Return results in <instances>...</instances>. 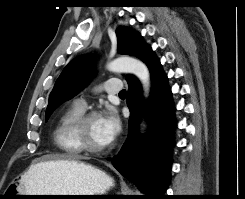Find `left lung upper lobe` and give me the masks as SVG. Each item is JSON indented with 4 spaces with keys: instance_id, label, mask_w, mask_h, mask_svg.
I'll list each match as a JSON object with an SVG mask.
<instances>
[{
    "instance_id": "obj_1",
    "label": "left lung upper lobe",
    "mask_w": 245,
    "mask_h": 199,
    "mask_svg": "<svg viewBox=\"0 0 245 199\" xmlns=\"http://www.w3.org/2000/svg\"><path fill=\"white\" fill-rule=\"evenodd\" d=\"M120 54L132 55L145 61L147 55L152 51L143 43L141 36L126 27L116 31ZM93 59L90 56H79L73 59L63 69L51 91L46 109V120L52 112L63 102L71 99L83 89L93 77ZM132 76H127V80Z\"/></svg>"
}]
</instances>
